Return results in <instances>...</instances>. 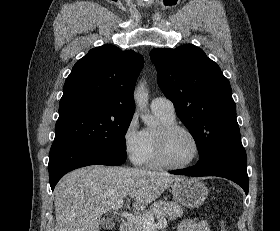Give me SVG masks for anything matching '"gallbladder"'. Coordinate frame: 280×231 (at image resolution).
<instances>
[{
    "mask_svg": "<svg viewBox=\"0 0 280 231\" xmlns=\"http://www.w3.org/2000/svg\"><path fill=\"white\" fill-rule=\"evenodd\" d=\"M101 225L103 229H112V227H115V223L111 217H103Z\"/></svg>",
    "mask_w": 280,
    "mask_h": 231,
    "instance_id": "gallbladder-1",
    "label": "gallbladder"
}]
</instances>
